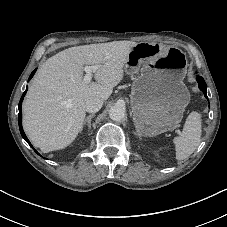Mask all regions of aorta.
<instances>
[{
  "label": "aorta",
  "instance_id": "762f6f07",
  "mask_svg": "<svg viewBox=\"0 0 227 227\" xmlns=\"http://www.w3.org/2000/svg\"><path fill=\"white\" fill-rule=\"evenodd\" d=\"M126 111L125 108L119 105L112 106L109 110V117L113 121H121L125 118Z\"/></svg>",
  "mask_w": 227,
  "mask_h": 227
}]
</instances>
